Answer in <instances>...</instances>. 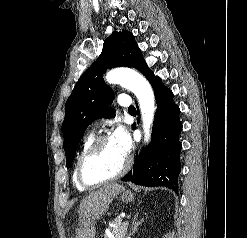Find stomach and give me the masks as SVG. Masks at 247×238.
Returning <instances> with one entry per match:
<instances>
[{
    "mask_svg": "<svg viewBox=\"0 0 247 238\" xmlns=\"http://www.w3.org/2000/svg\"><path fill=\"white\" fill-rule=\"evenodd\" d=\"M120 198L123 202L130 203L134 200V194L131 191H124Z\"/></svg>",
    "mask_w": 247,
    "mask_h": 238,
    "instance_id": "0dacf381",
    "label": "stomach"
}]
</instances>
